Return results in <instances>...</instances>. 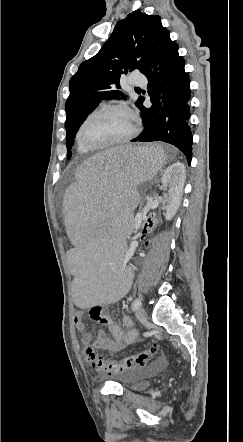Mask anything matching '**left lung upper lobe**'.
<instances>
[{"label":"left lung upper lobe","instance_id":"1","mask_svg":"<svg viewBox=\"0 0 243 442\" xmlns=\"http://www.w3.org/2000/svg\"><path fill=\"white\" fill-rule=\"evenodd\" d=\"M169 31L158 15L136 10L120 20L110 38L92 58L84 61L69 82L70 95L66 101L67 158H71L75 134L87 116L102 99L117 98L122 75L137 69L147 70ZM143 97L136 105L139 108Z\"/></svg>","mask_w":243,"mask_h":442}]
</instances>
